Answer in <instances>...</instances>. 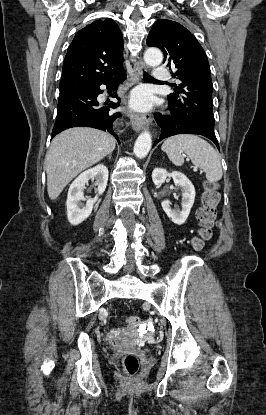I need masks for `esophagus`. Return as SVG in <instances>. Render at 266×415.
Wrapping results in <instances>:
<instances>
[{"label":"esophagus","instance_id":"esophagus-1","mask_svg":"<svg viewBox=\"0 0 266 415\" xmlns=\"http://www.w3.org/2000/svg\"><path fill=\"white\" fill-rule=\"evenodd\" d=\"M144 70L145 63L142 60H139L134 64L133 83H137L141 80ZM127 115L130 118L131 127L134 131H140L151 120V116L149 114H140L128 111Z\"/></svg>","mask_w":266,"mask_h":415}]
</instances>
